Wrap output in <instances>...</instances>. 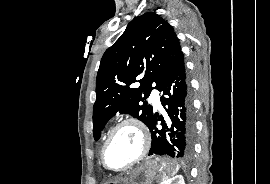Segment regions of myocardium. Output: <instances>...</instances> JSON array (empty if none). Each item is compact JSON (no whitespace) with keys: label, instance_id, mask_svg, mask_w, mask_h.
Wrapping results in <instances>:
<instances>
[{"label":"myocardium","instance_id":"f54148a6","mask_svg":"<svg viewBox=\"0 0 270 184\" xmlns=\"http://www.w3.org/2000/svg\"><path fill=\"white\" fill-rule=\"evenodd\" d=\"M126 125L134 126L138 130V132L141 136V140H142V148H141L139 155L128 165L121 167V168H112L106 162L107 149H108L111 141L113 140V138L117 134V132L122 127H124ZM150 144H151L150 135H149V132H148L146 126L143 124V122L135 117L124 118L123 120L118 122L109 132V134L104 142V145L102 147V150H101V162H102L103 166L109 171H113V172L126 171V170L134 167L138 163H140L146 157V155L148 154L149 149H150Z\"/></svg>","mask_w":270,"mask_h":184}]
</instances>
